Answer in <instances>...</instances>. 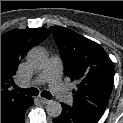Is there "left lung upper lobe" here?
Instances as JSON below:
<instances>
[{
  "mask_svg": "<svg viewBox=\"0 0 123 123\" xmlns=\"http://www.w3.org/2000/svg\"><path fill=\"white\" fill-rule=\"evenodd\" d=\"M65 65V73L77 83L73 111L99 120L112 90L114 67L96 42L61 26L50 27Z\"/></svg>",
  "mask_w": 123,
  "mask_h": 123,
  "instance_id": "left-lung-upper-lobe-1",
  "label": "left lung upper lobe"
}]
</instances>
